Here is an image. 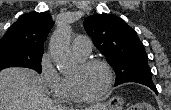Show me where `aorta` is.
Returning a JSON list of instances; mask_svg holds the SVG:
<instances>
[{"instance_id":"aorta-1","label":"aorta","mask_w":171,"mask_h":110,"mask_svg":"<svg viewBox=\"0 0 171 110\" xmlns=\"http://www.w3.org/2000/svg\"><path fill=\"white\" fill-rule=\"evenodd\" d=\"M70 27L63 25L50 40V54L61 74H66L74 67V60L70 52Z\"/></svg>"}]
</instances>
